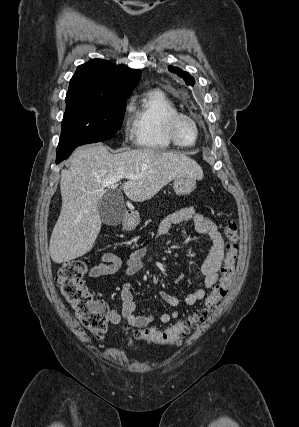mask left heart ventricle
I'll return each mask as SVG.
<instances>
[{
  "mask_svg": "<svg viewBox=\"0 0 299 427\" xmlns=\"http://www.w3.org/2000/svg\"><path fill=\"white\" fill-rule=\"evenodd\" d=\"M177 136L182 143H192L195 139V128L191 121L182 119L176 128Z\"/></svg>",
  "mask_w": 299,
  "mask_h": 427,
  "instance_id": "b2bd125f",
  "label": "left heart ventricle"
}]
</instances>
